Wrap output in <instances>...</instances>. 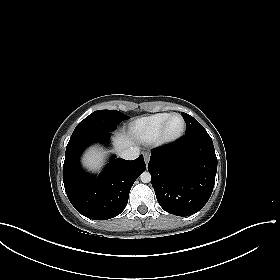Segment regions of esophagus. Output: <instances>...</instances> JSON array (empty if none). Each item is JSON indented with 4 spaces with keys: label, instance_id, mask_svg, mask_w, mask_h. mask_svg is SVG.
<instances>
[{
    "label": "esophagus",
    "instance_id": "1",
    "mask_svg": "<svg viewBox=\"0 0 280 280\" xmlns=\"http://www.w3.org/2000/svg\"><path fill=\"white\" fill-rule=\"evenodd\" d=\"M149 159H150V154L149 153H145L144 154V161H145L146 164L149 162Z\"/></svg>",
    "mask_w": 280,
    "mask_h": 280
}]
</instances>
